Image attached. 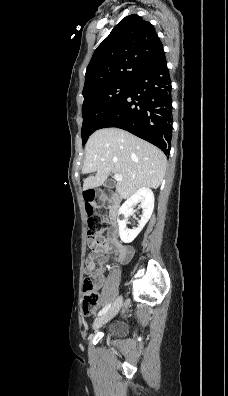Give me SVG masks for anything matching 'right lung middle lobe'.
<instances>
[{
  "mask_svg": "<svg viewBox=\"0 0 228 396\" xmlns=\"http://www.w3.org/2000/svg\"><path fill=\"white\" fill-rule=\"evenodd\" d=\"M131 82L113 83L83 94L82 142L99 129L102 121L120 104Z\"/></svg>",
  "mask_w": 228,
  "mask_h": 396,
  "instance_id": "dd1d6c3e",
  "label": "right lung middle lobe"
}]
</instances>
